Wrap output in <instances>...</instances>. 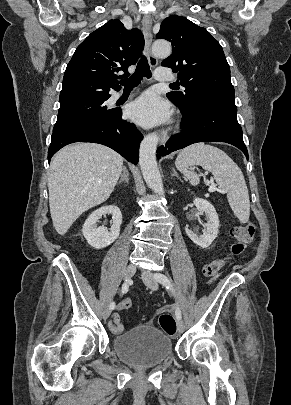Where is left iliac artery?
Here are the masks:
<instances>
[{
    "label": "left iliac artery",
    "mask_w": 291,
    "mask_h": 405,
    "mask_svg": "<svg viewBox=\"0 0 291 405\" xmlns=\"http://www.w3.org/2000/svg\"><path fill=\"white\" fill-rule=\"evenodd\" d=\"M154 277L160 284H162L165 288L169 289L174 294V289H173V286L171 284V281L168 279V277L166 275H164L162 273H155ZM175 315H176V318L178 320H180L181 317H182L181 316V310L178 307V305L176 307Z\"/></svg>",
    "instance_id": "1"
}]
</instances>
